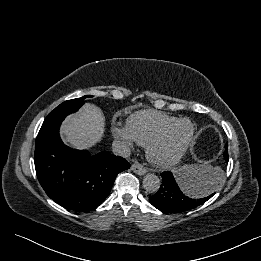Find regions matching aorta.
Listing matches in <instances>:
<instances>
[{"mask_svg":"<svg viewBox=\"0 0 261 261\" xmlns=\"http://www.w3.org/2000/svg\"><path fill=\"white\" fill-rule=\"evenodd\" d=\"M161 185L159 177L153 173H148L144 176L143 187L150 193H156Z\"/></svg>","mask_w":261,"mask_h":261,"instance_id":"1","label":"aorta"}]
</instances>
